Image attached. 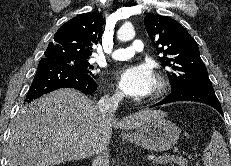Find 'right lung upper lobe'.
Returning <instances> with one entry per match:
<instances>
[{
    "label": "right lung upper lobe",
    "mask_w": 231,
    "mask_h": 166,
    "mask_svg": "<svg viewBox=\"0 0 231 166\" xmlns=\"http://www.w3.org/2000/svg\"><path fill=\"white\" fill-rule=\"evenodd\" d=\"M103 24V16L99 13L77 15L55 33L54 40L49 43L45 52V58H89L92 45L102 36Z\"/></svg>",
    "instance_id": "1"
}]
</instances>
